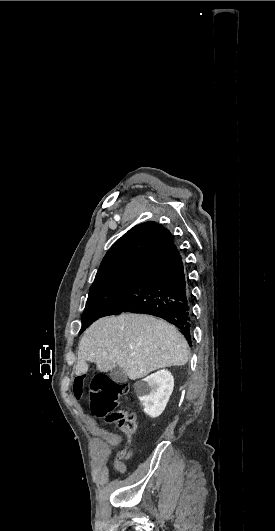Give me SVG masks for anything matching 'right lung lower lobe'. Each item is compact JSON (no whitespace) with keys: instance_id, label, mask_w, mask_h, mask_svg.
Returning <instances> with one entry per match:
<instances>
[{"instance_id":"obj_1","label":"right lung lower lobe","mask_w":275,"mask_h":531,"mask_svg":"<svg viewBox=\"0 0 275 531\" xmlns=\"http://www.w3.org/2000/svg\"><path fill=\"white\" fill-rule=\"evenodd\" d=\"M190 296L186 268L172 241L103 316L131 312L161 317L179 328L191 345Z\"/></svg>"}]
</instances>
